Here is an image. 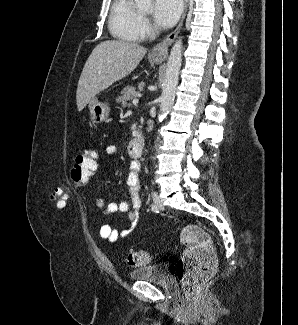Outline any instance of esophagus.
Instances as JSON below:
<instances>
[{"label": "esophagus", "mask_w": 298, "mask_h": 325, "mask_svg": "<svg viewBox=\"0 0 298 325\" xmlns=\"http://www.w3.org/2000/svg\"><path fill=\"white\" fill-rule=\"evenodd\" d=\"M187 8H188V0H184V12H183V15H182L179 25L176 27L174 32L170 33V35H168L166 38H164V40H162V42L158 43L157 45H155V47L152 48L151 53H150V56L152 58L164 59V58L168 57L169 47L174 42L175 38L177 37V35L183 25V21L186 16Z\"/></svg>", "instance_id": "obj_1"}]
</instances>
